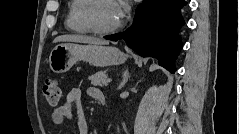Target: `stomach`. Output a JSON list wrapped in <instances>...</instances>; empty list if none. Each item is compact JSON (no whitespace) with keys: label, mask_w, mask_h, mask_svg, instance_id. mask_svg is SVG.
Returning a JSON list of instances; mask_svg holds the SVG:
<instances>
[{"label":"stomach","mask_w":239,"mask_h":134,"mask_svg":"<svg viewBox=\"0 0 239 134\" xmlns=\"http://www.w3.org/2000/svg\"><path fill=\"white\" fill-rule=\"evenodd\" d=\"M127 58V54L112 46L62 43L51 51L49 66L54 73H63L78 61H84L96 67H106L123 64Z\"/></svg>","instance_id":"obj_1"}]
</instances>
